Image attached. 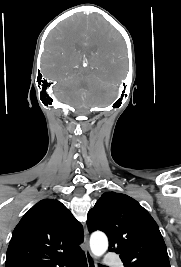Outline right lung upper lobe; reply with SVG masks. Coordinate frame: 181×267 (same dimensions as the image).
Listing matches in <instances>:
<instances>
[{
	"label": "right lung upper lobe",
	"instance_id": "cb5924a9",
	"mask_svg": "<svg viewBox=\"0 0 181 267\" xmlns=\"http://www.w3.org/2000/svg\"><path fill=\"white\" fill-rule=\"evenodd\" d=\"M82 225L55 199L35 204L15 227L5 267H63L83 253Z\"/></svg>",
	"mask_w": 181,
	"mask_h": 267
}]
</instances>
